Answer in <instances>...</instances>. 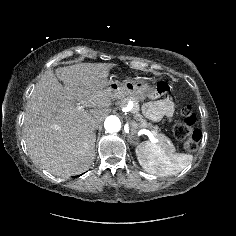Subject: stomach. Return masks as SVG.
<instances>
[{
	"mask_svg": "<svg viewBox=\"0 0 236 236\" xmlns=\"http://www.w3.org/2000/svg\"><path fill=\"white\" fill-rule=\"evenodd\" d=\"M107 90L115 98H129L135 103L144 101L147 99L153 92V86L140 77H129L123 80L122 82L110 80L107 85ZM132 127V136L130 141H135V133L139 126L136 123L131 124Z\"/></svg>",
	"mask_w": 236,
	"mask_h": 236,
	"instance_id": "obj_1",
	"label": "stomach"
}]
</instances>
